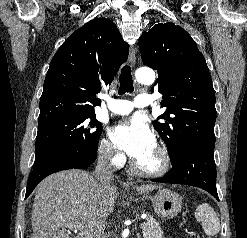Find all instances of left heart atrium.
Returning a JSON list of instances; mask_svg holds the SVG:
<instances>
[{
	"mask_svg": "<svg viewBox=\"0 0 247 238\" xmlns=\"http://www.w3.org/2000/svg\"><path fill=\"white\" fill-rule=\"evenodd\" d=\"M111 138L117 147L135 160L155 147V136L141 118L117 124L111 130Z\"/></svg>",
	"mask_w": 247,
	"mask_h": 238,
	"instance_id": "1",
	"label": "left heart atrium"
}]
</instances>
